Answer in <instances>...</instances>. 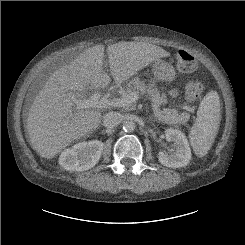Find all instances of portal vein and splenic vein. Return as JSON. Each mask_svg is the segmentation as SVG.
Instances as JSON below:
<instances>
[{
  "label": "portal vein and splenic vein",
  "mask_w": 245,
  "mask_h": 245,
  "mask_svg": "<svg viewBox=\"0 0 245 245\" xmlns=\"http://www.w3.org/2000/svg\"><path fill=\"white\" fill-rule=\"evenodd\" d=\"M70 99L75 103L76 109H87V108H109V107H129L139 99V93L137 91L131 92L130 94L124 95L121 98H114L111 100L101 98V95L94 93L89 98L80 99L74 93L68 94Z\"/></svg>",
  "instance_id": "obj_1"
}]
</instances>
